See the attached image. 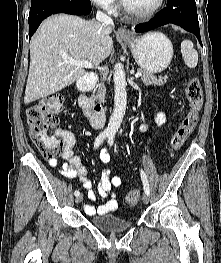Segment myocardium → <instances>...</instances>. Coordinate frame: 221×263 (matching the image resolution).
Listing matches in <instances>:
<instances>
[{
  "mask_svg": "<svg viewBox=\"0 0 221 263\" xmlns=\"http://www.w3.org/2000/svg\"><path fill=\"white\" fill-rule=\"evenodd\" d=\"M164 3H165V0H158L157 4L148 10H136V9L131 8L125 2V0H122V6L124 10L126 11V13H128L131 16L138 17V18H146V17H150L156 14L163 7Z\"/></svg>",
  "mask_w": 221,
  "mask_h": 263,
  "instance_id": "obj_1",
  "label": "myocardium"
}]
</instances>
